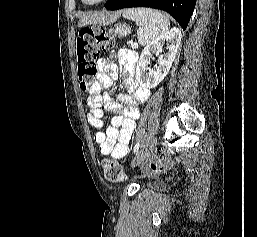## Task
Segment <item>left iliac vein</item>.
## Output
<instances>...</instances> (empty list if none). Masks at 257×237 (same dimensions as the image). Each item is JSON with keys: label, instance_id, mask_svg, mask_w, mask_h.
I'll return each mask as SVG.
<instances>
[{"label": "left iliac vein", "instance_id": "left-iliac-vein-1", "mask_svg": "<svg viewBox=\"0 0 257 237\" xmlns=\"http://www.w3.org/2000/svg\"><path fill=\"white\" fill-rule=\"evenodd\" d=\"M157 143L156 138L151 139L148 144L143 147L136 155V157L134 158V160L132 161V165L135 166L141 162H143L146 158H148V156L150 155V153L153 151L155 145Z\"/></svg>", "mask_w": 257, "mask_h": 237}]
</instances>
